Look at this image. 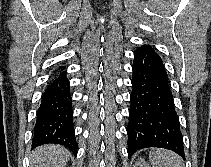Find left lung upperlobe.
<instances>
[{
	"label": "left lung upper lobe",
	"instance_id": "obj_1",
	"mask_svg": "<svg viewBox=\"0 0 211 167\" xmlns=\"http://www.w3.org/2000/svg\"><path fill=\"white\" fill-rule=\"evenodd\" d=\"M143 47H150V48H151V46H149V45H145V46H143Z\"/></svg>",
	"mask_w": 211,
	"mask_h": 167
}]
</instances>
